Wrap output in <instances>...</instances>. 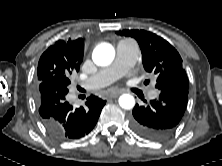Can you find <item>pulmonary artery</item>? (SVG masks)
<instances>
[{"label": "pulmonary artery", "mask_w": 222, "mask_h": 166, "mask_svg": "<svg viewBox=\"0 0 222 166\" xmlns=\"http://www.w3.org/2000/svg\"><path fill=\"white\" fill-rule=\"evenodd\" d=\"M138 48L131 40H122L117 44V55L114 63L95 75L91 76L81 84L86 89H98L114 82L118 77L126 72L136 62ZM158 96V91L152 88L148 92V97L154 99Z\"/></svg>", "instance_id": "1"}]
</instances>
